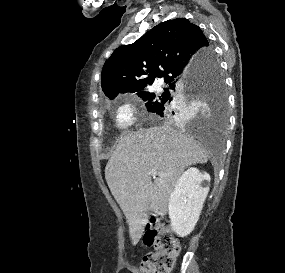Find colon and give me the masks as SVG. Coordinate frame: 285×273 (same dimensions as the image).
<instances>
[{"label":"colon","instance_id":"colon-1","mask_svg":"<svg viewBox=\"0 0 285 273\" xmlns=\"http://www.w3.org/2000/svg\"><path fill=\"white\" fill-rule=\"evenodd\" d=\"M144 243L154 251L146 254L141 262L142 273H169L180 252L178 239L168 229L165 222L156 220L143 237Z\"/></svg>","mask_w":285,"mask_h":273}]
</instances>
